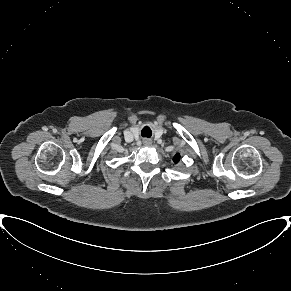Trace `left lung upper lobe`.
<instances>
[{
	"mask_svg": "<svg viewBox=\"0 0 291 291\" xmlns=\"http://www.w3.org/2000/svg\"><path fill=\"white\" fill-rule=\"evenodd\" d=\"M180 160V154H176L173 158V161L177 163Z\"/></svg>",
	"mask_w": 291,
	"mask_h": 291,
	"instance_id": "obj_1",
	"label": "left lung upper lobe"
}]
</instances>
